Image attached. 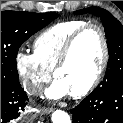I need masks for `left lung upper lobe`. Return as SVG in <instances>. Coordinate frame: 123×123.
<instances>
[{"label": "left lung upper lobe", "mask_w": 123, "mask_h": 123, "mask_svg": "<svg viewBox=\"0 0 123 123\" xmlns=\"http://www.w3.org/2000/svg\"><path fill=\"white\" fill-rule=\"evenodd\" d=\"M75 14L91 13L100 17L107 37L109 60L106 74L97 89H109L123 82V26L108 11L99 7H90L74 12Z\"/></svg>", "instance_id": "1"}]
</instances>
